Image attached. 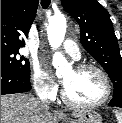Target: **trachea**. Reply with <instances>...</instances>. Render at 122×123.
<instances>
[{"label":"trachea","instance_id":"trachea-1","mask_svg":"<svg viewBox=\"0 0 122 123\" xmlns=\"http://www.w3.org/2000/svg\"><path fill=\"white\" fill-rule=\"evenodd\" d=\"M50 5V0H41V6L46 9Z\"/></svg>","mask_w":122,"mask_h":123}]
</instances>
